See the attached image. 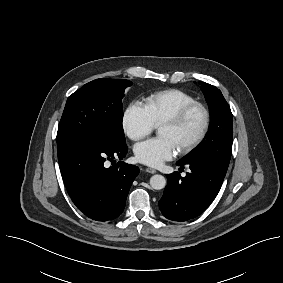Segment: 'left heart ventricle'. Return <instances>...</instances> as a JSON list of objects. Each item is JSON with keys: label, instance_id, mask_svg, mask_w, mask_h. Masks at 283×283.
<instances>
[{"label": "left heart ventricle", "instance_id": "b2bd125f", "mask_svg": "<svg viewBox=\"0 0 283 283\" xmlns=\"http://www.w3.org/2000/svg\"><path fill=\"white\" fill-rule=\"evenodd\" d=\"M203 122V116L199 110L191 113L188 119L179 128H174L168 125L159 127L160 137L171 140L176 148H179L184 143L192 140L200 131Z\"/></svg>", "mask_w": 283, "mask_h": 283}]
</instances>
